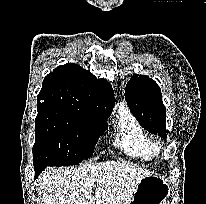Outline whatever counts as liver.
<instances>
[{"mask_svg":"<svg viewBox=\"0 0 206 204\" xmlns=\"http://www.w3.org/2000/svg\"><path fill=\"white\" fill-rule=\"evenodd\" d=\"M148 175L132 164L103 161L67 169L50 168L35 185L42 204H129L138 183Z\"/></svg>","mask_w":206,"mask_h":204,"instance_id":"obj_1","label":"liver"}]
</instances>
